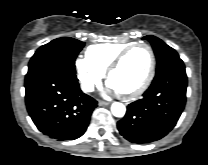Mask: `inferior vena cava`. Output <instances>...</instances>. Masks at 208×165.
Wrapping results in <instances>:
<instances>
[{"mask_svg":"<svg viewBox=\"0 0 208 165\" xmlns=\"http://www.w3.org/2000/svg\"><path fill=\"white\" fill-rule=\"evenodd\" d=\"M81 88L84 92L94 91V85L92 83H83Z\"/></svg>","mask_w":208,"mask_h":165,"instance_id":"inferior-vena-cava-1","label":"inferior vena cava"}]
</instances>
